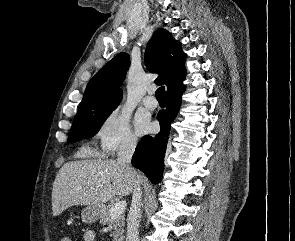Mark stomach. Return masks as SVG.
<instances>
[{
  "label": "stomach",
  "instance_id": "obj_1",
  "mask_svg": "<svg viewBox=\"0 0 295 241\" xmlns=\"http://www.w3.org/2000/svg\"><path fill=\"white\" fill-rule=\"evenodd\" d=\"M105 206L102 204H92L87 205L85 208L81 211V218L84 223H93L96 220H98L103 211Z\"/></svg>",
  "mask_w": 295,
  "mask_h": 241
}]
</instances>
